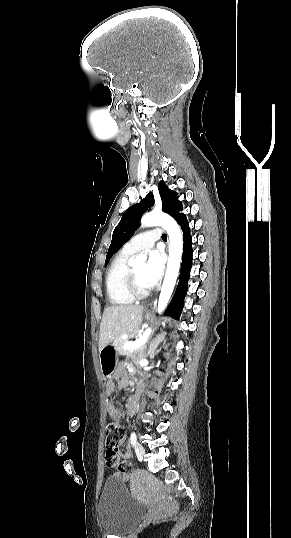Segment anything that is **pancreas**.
I'll return each mask as SVG.
<instances>
[{
	"label": "pancreas",
	"instance_id": "obj_1",
	"mask_svg": "<svg viewBox=\"0 0 291 538\" xmlns=\"http://www.w3.org/2000/svg\"><path fill=\"white\" fill-rule=\"evenodd\" d=\"M134 337V334H129L128 335V339H124L122 336L120 338H118L115 342H114V347L116 348L117 352L120 354V355H130L134 350H136L135 348L134 349H125L123 346L124 344L131 338Z\"/></svg>",
	"mask_w": 291,
	"mask_h": 538
}]
</instances>
